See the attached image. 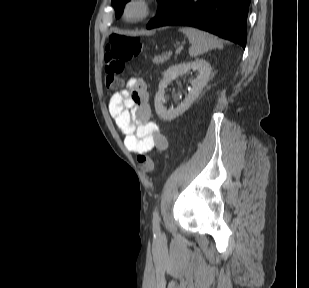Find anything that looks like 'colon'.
I'll use <instances>...</instances> for the list:
<instances>
[{
  "label": "colon",
  "instance_id": "colon-1",
  "mask_svg": "<svg viewBox=\"0 0 309 288\" xmlns=\"http://www.w3.org/2000/svg\"><path fill=\"white\" fill-rule=\"evenodd\" d=\"M140 39L122 34H114L110 37L104 57L105 63V85L110 90H119L123 86L122 74L125 69V62L136 57L142 51ZM137 162L141 168L150 171L153 168L151 158L140 153Z\"/></svg>",
  "mask_w": 309,
  "mask_h": 288
}]
</instances>
